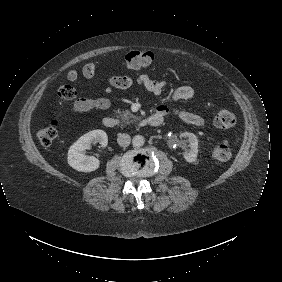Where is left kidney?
I'll return each instance as SVG.
<instances>
[{
	"instance_id": "5707ae66",
	"label": "left kidney",
	"mask_w": 282,
	"mask_h": 282,
	"mask_svg": "<svg viewBox=\"0 0 282 282\" xmlns=\"http://www.w3.org/2000/svg\"><path fill=\"white\" fill-rule=\"evenodd\" d=\"M180 138H188L190 149L184 152V158L189 163H194L197 161L198 155V139L194 133L183 132L180 134Z\"/></svg>"
}]
</instances>
